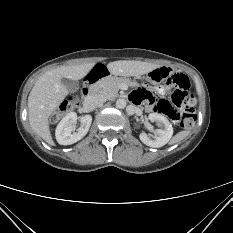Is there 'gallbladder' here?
I'll return each mask as SVG.
<instances>
[{"label": "gallbladder", "instance_id": "gallbladder-1", "mask_svg": "<svg viewBox=\"0 0 233 233\" xmlns=\"http://www.w3.org/2000/svg\"><path fill=\"white\" fill-rule=\"evenodd\" d=\"M62 83L66 86L69 92H75L79 88V82L67 78H63Z\"/></svg>", "mask_w": 233, "mask_h": 233}]
</instances>
